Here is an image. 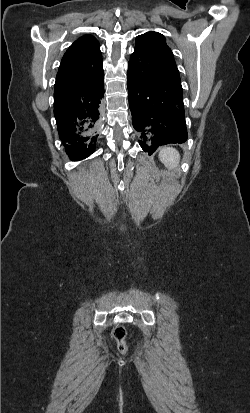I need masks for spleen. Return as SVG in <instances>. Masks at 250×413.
<instances>
[{
	"label": "spleen",
	"instance_id": "1",
	"mask_svg": "<svg viewBox=\"0 0 250 413\" xmlns=\"http://www.w3.org/2000/svg\"><path fill=\"white\" fill-rule=\"evenodd\" d=\"M160 161L170 170L176 169L179 166L180 154L172 147H164L159 152Z\"/></svg>",
	"mask_w": 250,
	"mask_h": 413
}]
</instances>
